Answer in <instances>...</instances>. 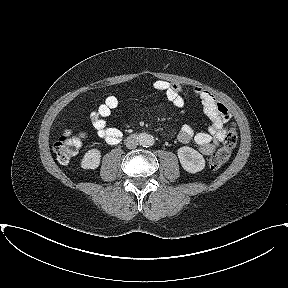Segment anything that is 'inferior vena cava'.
Segmentation results:
<instances>
[{
  "label": "inferior vena cava",
  "instance_id": "obj_1",
  "mask_svg": "<svg viewBox=\"0 0 288 288\" xmlns=\"http://www.w3.org/2000/svg\"><path fill=\"white\" fill-rule=\"evenodd\" d=\"M139 143V138L136 135H130L125 140V145L128 149H135Z\"/></svg>",
  "mask_w": 288,
  "mask_h": 288
}]
</instances>
